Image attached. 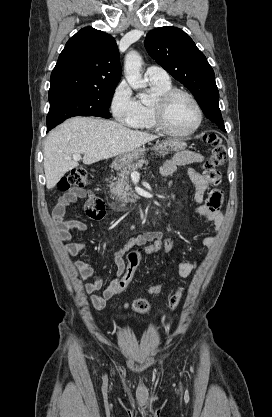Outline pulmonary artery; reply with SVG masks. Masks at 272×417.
<instances>
[{"label":"pulmonary artery","instance_id":"1","mask_svg":"<svg viewBox=\"0 0 272 417\" xmlns=\"http://www.w3.org/2000/svg\"><path fill=\"white\" fill-rule=\"evenodd\" d=\"M145 77L150 82L166 84L170 82L168 73L159 66H150L145 71Z\"/></svg>","mask_w":272,"mask_h":417}]
</instances>
